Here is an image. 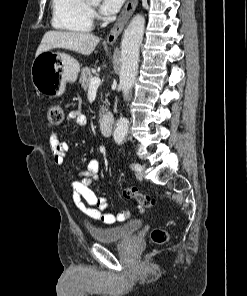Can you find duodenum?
Wrapping results in <instances>:
<instances>
[{"label": "duodenum", "mask_w": 247, "mask_h": 296, "mask_svg": "<svg viewBox=\"0 0 247 296\" xmlns=\"http://www.w3.org/2000/svg\"><path fill=\"white\" fill-rule=\"evenodd\" d=\"M114 127V118L110 114H104L99 119V128L103 136L109 137L112 135Z\"/></svg>", "instance_id": "410a0bca"}]
</instances>
